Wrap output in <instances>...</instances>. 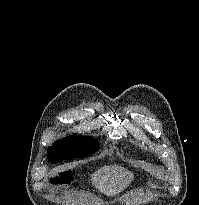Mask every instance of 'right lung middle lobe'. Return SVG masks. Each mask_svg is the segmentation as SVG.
Listing matches in <instances>:
<instances>
[{
	"mask_svg": "<svg viewBox=\"0 0 199 205\" xmlns=\"http://www.w3.org/2000/svg\"><path fill=\"white\" fill-rule=\"evenodd\" d=\"M99 148V142L95 138L70 135L56 141L52 147H49L47 149V158L50 159L52 164H57L64 160L92 155Z\"/></svg>",
	"mask_w": 199,
	"mask_h": 205,
	"instance_id": "1",
	"label": "right lung middle lobe"
}]
</instances>
